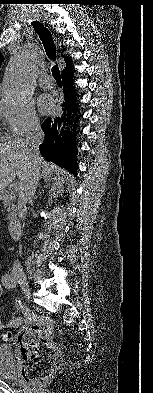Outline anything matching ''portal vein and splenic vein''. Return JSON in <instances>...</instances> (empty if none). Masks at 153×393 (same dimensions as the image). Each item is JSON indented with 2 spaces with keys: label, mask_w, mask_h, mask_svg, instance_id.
<instances>
[{
  "label": "portal vein and splenic vein",
  "mask_w": 153,
  "mask_h": 393,
  "mask_svg": "<svg viewBox=\"0 0 153 393\" xmlns=\"http://www.w3.org/2000/svg\"><path fill=\"white\" fill-rule=\"evenodd\" d=\"M20 187H21V184H17V183L13 184V188L15 190L19 189Z\"/></svg>",
  "instance_id": "1"
}]
</instances>
